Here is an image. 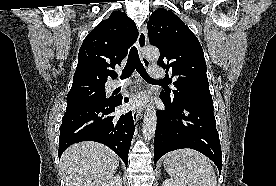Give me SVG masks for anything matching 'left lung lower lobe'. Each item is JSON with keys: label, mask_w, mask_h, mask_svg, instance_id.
Listing matches in <instances>:
<instances>
[{"label": "left lung lower lobe", "mask_w": 276, "mask_h": 186, "mask_svg": "<svg viewBox=\"0 0 276 186\" xmlns=\"http://www.w3.org/2000/svg\"><path fill=\"white\" fill-rule=\"evenodd\" d=\"M165 110L157 112L154 163L167 152L190 148L209 157L221 173L222 154L213 103L175 106L160 94Z\"/></svg>", "instance_id": "1"}]
</instances>
